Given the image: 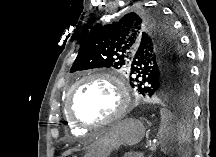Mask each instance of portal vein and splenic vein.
Returning <instances> with one entry per match:
<instances>
[{"label": "portal vein and splenic vein", "mask_w": 216, "mask_h": 157, "mask_svg": "<svg viewBox=\"0 0 216 157\" xmlns=\"http://www.w3.org/2000/svg\"><path fill=\"white\" fill-rule=\"evenodd\" d=\"M156 148V145L153 144L152 147L150 148L151 150H154Z\"/></svg>", "instance_id": "18ae733b"}]
</instances>
